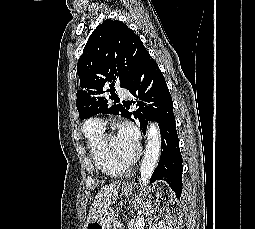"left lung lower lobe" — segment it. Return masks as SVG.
<instances>
[{
	"label": "left lung lower lobe",
	"instance_id": "left-lung-lower-lobe-1",
	"mask_svg": "<svg viewBox=\"0 0 255 229\" xmlns=\"http://www.w3.org/2000/svg\"><path fill=\"white\" fill-rule=\"evenodd\" d=\"M130 91L137 110L133 113L126 110V118L133 114L138 118L143 133H146L147 121L159 123L162 137V153L159 164L151 177L166 181L178 198L182 193V156L173 113V102L165 78L157 63L146 50L124 87Z\"/></svg>",
	"mask_w": 255,
	"mask_h": 229
}]
</instances>
